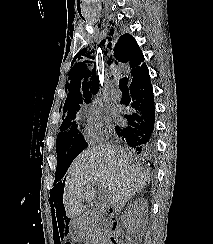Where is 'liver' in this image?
Masks as SVG:
<instances>
[{"instance_id":"6515ba94","label":"liver","mask_w":213,"mask_h":244,"mask_svg":"<svg viewBox=\"0 0 213 244\" xmlns=\"http://www.w3.org/2000/svg\"><path fill=\"white\" fill-rule=\"evenodd\" d=\"M148 172L127 153L108 144L82 152L71 164L65 181L63 205L69 218L80 216L96 196L95 183L105 189L109 206H123L149 183Z\"/></svg>"}]
</instances>
